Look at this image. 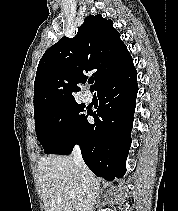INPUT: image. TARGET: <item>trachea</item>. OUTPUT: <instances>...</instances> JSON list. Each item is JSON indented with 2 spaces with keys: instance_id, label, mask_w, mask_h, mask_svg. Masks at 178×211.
I'll return each instance as SVG.
<instances>
[{
  "instance_id": "1",
  "label": "trachea",
  "mask_w": 178,
  "mask_h": 211,
  "mask_svg": "<svg viewBox=\"0 0 178 211\" xmlns=\"http://www.w3.org/2000/svg\"><path fill=\"white\" fill-rule=\"evenodd\" d=\"M93 81H94V79H93V78H90V79H89V83H90V84H92V83H93Z\"/></svg>"
}]
</instances>
